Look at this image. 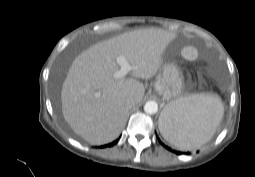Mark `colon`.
I'll return each instance as SVG.
<instances>
[{"mask_svg": "<svg viewBox=\"0 0 255 177\" xmlns=\"http://www.w3.org/2000/svg\"><path fill=\"white\" fill-rule=\"evenodd\" d=\"M184 56L188 59H195L197 57V53L193 48H187L184 51Z\"/></svg>", "mask_w": 255, "mask_h": 177, "instance_id": "colon-1", "label": "colon"}]
</instances>
